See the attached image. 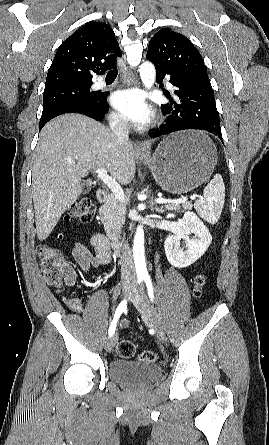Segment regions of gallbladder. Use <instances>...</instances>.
I'll use <instances>...</instances> for the list:
<instances>
[{
	"instance_id": "bac80fb5",
	"label": "gallbladder",
	"mask_w": 269,
	"mask_h": 445,
	"mask_svg": "<svg viewBox=\"0 0 269 445\" xmlns=\"http://www.w3.org/2000/svg\"><path fill=\"white\" fill-rule=\"evenodd\" d=\"M91 188H92L91 183H89V182L84 183V184H83V190H82V193H83V194H87V193H89L90 190H91Z\"/></svg>"
}]
</instances>
